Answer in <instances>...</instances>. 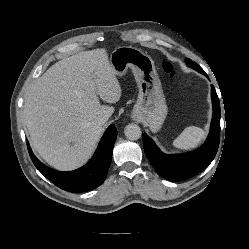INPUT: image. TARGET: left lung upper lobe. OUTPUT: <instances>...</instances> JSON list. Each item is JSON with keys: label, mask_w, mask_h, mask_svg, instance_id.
Wrapping results in <instances>:
<instances>
[{"label": "left lung upper lobe", "mask_w": 249, "mask_h": 249, "mask_svg": "<svg viewBox=\"0 0 249 249\" xmlns=\"http://www.w3.org/2000/svg\"><path fill=\"white\" fill-rule=\"evenodd\" d=\"M186 63L189 67L195 69V70H199V69H202L199 65H197L196 63L192 62V60L190 59H186Z\"/></svg>", "instance_id": "1"}]
</instances>
